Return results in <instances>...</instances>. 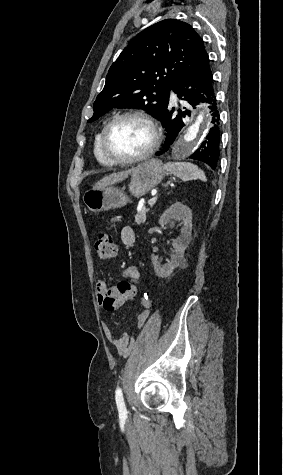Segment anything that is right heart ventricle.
<instances>
[{"label":"right heart ventricle","mask_w":283,"mask_h":475,"mask_svg":"<svg viewBox=\"0 0 283 475\" xmlns=\"http://www.w3.org/2000/svg\"><path fill=\"white\" fill-rule=\"evenodd\" d=\"M105 125L102 126L98 131L97 133L95 134L94 136V139H93V154H94V157L95 159L97 160V162H108L101 154V150H100V137H101V134H102V131L104 129Z\"/></svg>","instance_id":"1"}]
</instances>
